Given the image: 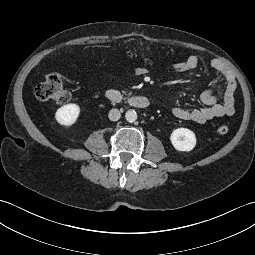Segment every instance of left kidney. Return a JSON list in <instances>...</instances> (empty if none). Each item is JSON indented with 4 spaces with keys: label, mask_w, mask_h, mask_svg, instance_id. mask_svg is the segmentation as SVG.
<instances>
[{
    "label": "left kidney",
    "mask_w": 255,
    "mask_h": 255,
    "mask_svg": "<svg viewBox=\"0 0 255 255\" xmlns=\"http://www.w3.org/2000/svg\"><path fill=\"white\" fill-rule=\"evenodd\" d=\"M173 147L178 151L189 152L196 145V136L193 131L187 128H177L170 136Z\"/></svg>",
    "instance_id": "5707ae66"
}]
</instances>
